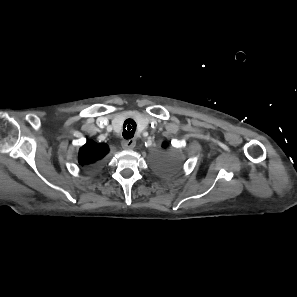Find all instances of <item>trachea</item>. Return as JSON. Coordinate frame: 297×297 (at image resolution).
Masks as SVG:
<instances>
[{"label":"trachea","instance_id":"trachea-1","mask_svg":"<svg viewBox=\"0 0 297 297\" xmlns=\"http://www.w3.org/2000/svg\"><path fill=\"white\" fill-rule=\"evenodd\" d=\"M135 130L136 122L133 119L125 120L122 133L123 137L127 140L133 138Z\"/></svg>","mask_w":297,"mask_h":297}]
</instances>
